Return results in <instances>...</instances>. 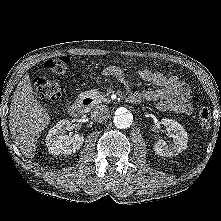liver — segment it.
Segmentation results:
<instances>
[{
	"label": "liver",
	"mask_w": 221,
	"mask_h": 221,
	"mask_svg": "<svg viewBox=\"0 0 221 221\" xmlns=\"http://www.w3.org/2000/svg\"><path fill=\"white\" fill-rule=\"evenodd\" d=\"M9 117L14 143L23 155L32 159L39 134L50 123V116L35 99L28 75L23 76L14 91Z\"/></svg>",
	"instance_id": "liver-1"
}]
</instances>
